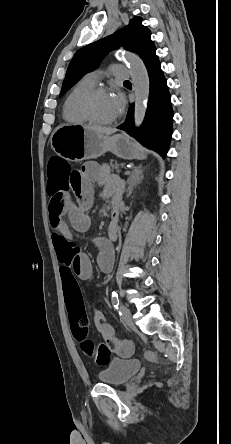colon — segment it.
I'll list each match as a JSON object with an SVG mask.
<instances>
[{
    "instance_id": "5ec220e1",
    "label": "colon",
    "mask_w": 231,
    "mask_h": 444,
    "mask_svg": "<svg viewBox=\"0 0 231 444\" xmlns=\"http://www.w3.org/2000/svg\"><path fill=\"white\" fill-rule=\"evenodd\" d=\"M78 171L59 157H52L48 163L47 191L51 197L50 208L56 209L62 200V193L68 190L77 178ZM69 321L72 334L78 341L82 351L96 364L106 365L111 352L128 353L132 345L128 341L111 340L105 343H94L88 338L89 319L80 295L66 296Z\"/></svg>"
}]
</instances>
